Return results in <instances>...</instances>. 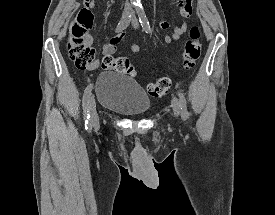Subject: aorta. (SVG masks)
Returning a JSON list of instances; mask_svg holds the SVG:
<instances>
[{"mask_svg":"<svg viewBox=\"0 0 275 215\" xmlns=\"http://www.w3.org/2000/svg\"><path fill=\"white\" fill-rule=\"evenodd\" d=\"M134 5H138L140 3V0H132Z\"/></svg>","mask_w":275,"mask_h":215,"instance_id":"obj_1","label":"aorta"}]
</instances>
